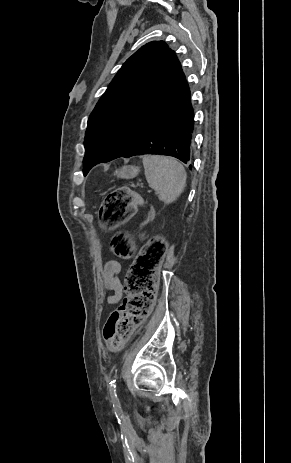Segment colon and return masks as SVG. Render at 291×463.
Returning <instances> with one entry per match:
<instances>
[{
	"label": "colon",
	"mask_w": 291,
	"mask_h": 463,
	"mask_svg": "<svg viewBox=\"0 0 291 463\" xmlns=\"http://www.w3.org/2000/svg\"><path fill=\"white\" fill-rule=\"evenodd\" d=\"M142 203L138 193L128 187H118L104 199L99 219L104 228H113L126 222ZM112 251L120 258L131 256L133 245L126 233L116 234ZM166 243L159 237L150 239L138 253L124 283L126 297L107 319L103 336L108 348L120 349L134 326L139 325L153 309L157 275L166 253Z\"/></svg>",
	"instance_id": "5ec220e1"
}]
</instances>
